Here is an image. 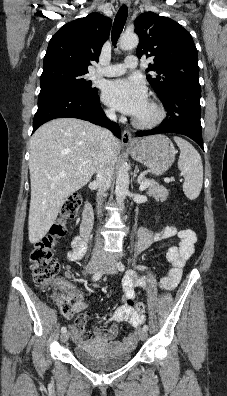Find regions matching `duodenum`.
I'll return each mask as SVG.
<instances>
[{
	"label": "duodenum",
	"mask_w": 227,
	"mask_h": 396,
	"mask_svg": "<svg viewBox=\"0 0 227 396\" xmlns=\"http://www.w3.org/2000/svg\"><path fill=\"white\" fill-rule=\"evenodd\" d=\"M93 209L91 204L87 201L84 205V210L82 214V223L80 226V235L83 242H86L90 236L92 226H93Z\"/></svg>",
	"instance_id": "duodenum-1"
}]
</instances>
